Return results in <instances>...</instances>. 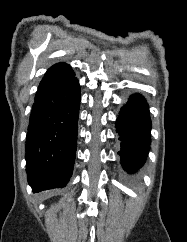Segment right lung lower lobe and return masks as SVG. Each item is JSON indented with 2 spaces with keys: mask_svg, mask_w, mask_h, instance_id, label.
Masks as SVG:
<instances>
[{
  "mask_svg": "<svg viewBox=\"0 0 187 242\" xmlns=\"http://www.w3.org/2000/svg\"><path fill=\"white\" fill-rule=\"evenodd\" d=\"M81 91L75 74L38 87L26 138V172L33 192L67 185L77 148Z\"/></svg>",
  "mask_w": 187,
  "mask_h": 242,
  "instance_id": "right-lung-lower-lobe-1",
  "label": "right lung lower lobe"
}]
</instances>
